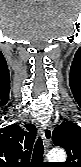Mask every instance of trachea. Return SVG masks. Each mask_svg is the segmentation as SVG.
<instances>
[{"instance_id":"1","label":"trachea","mask_w":81,"mask_h":167,"mask_svg":"<svg viewBox=\"0 0 81 167\" xmlns=\"http://www.w3.org/2000/svg\"><path fill=\"white\" fill-rule=\"evenodd\" d=\"M44 146L41 137L36 141L34 151L32 154V162L38 163L43 161Z\"/></svg>"}]
</instances>
